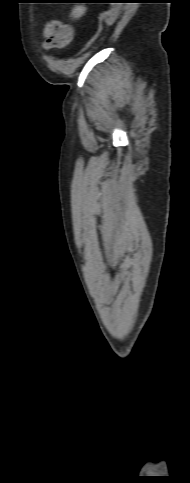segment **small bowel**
<instances>
[{
  "label": "small bowel",
  "mask_w": 190,
  "mask_h": 483,
  "mask_svg": "<svg viewBox=\"0 0 190 483\" xmlns=\"http://www.w3.org/2000/svg\"><path fill=\"white\" fill-rule=\"evenodd\" d=\"M43 47L46 50L64 47L72 39V31L69 26L50 20L43 29Z\"/></svg>",
  "instance_id": "1"
}]
</instances>
